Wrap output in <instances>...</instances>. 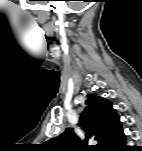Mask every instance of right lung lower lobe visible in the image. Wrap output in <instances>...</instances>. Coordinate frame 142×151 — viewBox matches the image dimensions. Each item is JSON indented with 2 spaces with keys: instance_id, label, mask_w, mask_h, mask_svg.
<instances>
[{
  "instance_id": "right-lung-lower-lobe-1",
  "label": "right lung lower lobe",
  "mask_w": 142,
  "mask_h": 151,
  "mask_svg": "<svg viewBox=\"0 0 142 151\" xmlns=\"http://www.w3.org/2000/svg\"><path fill=\"white\" fill-rule=\"evenodd\" d=\"M128 150V146L125 145V141L118 145L113 151H125Z\"/></svg>"
}]
</instances>
